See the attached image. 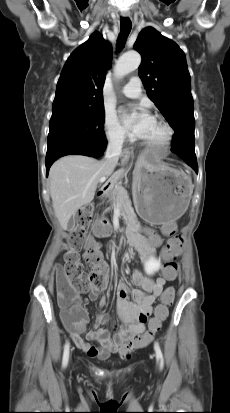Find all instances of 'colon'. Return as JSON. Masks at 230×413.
<instances>
[{
	"mask_svg": "<svg viewBox=\"0 0 230 413\" xmlns=\"http://www.w3.org/2000/svg\"><path fill=\"white\" fill-rule=\"evenodd\" d=\"M94 207L86 205L82 207L76 216V227L67 238L69 251L65 255V262L56 268L57 296L59 304L64 311H73L77 317L81 316V310L76 305V293L86 292L92 288H100L105 283V275L108 267L103 260L100 246L91 239L87 230L92 224ZM105 221H98L95 225L97 231H102ZM182 247V238L174 236L169 239L164 253L165 265L161 269V276L168 281H174L178 274L176 258ZM81 251L90 270L86 271L81 261ZM174 292L168 290L163 293L160 304L156 307L155 314L151 318L147 332L138 340L129 342L125 348V356H129L136 348L147 345L160 329L161 323L168 315V306L172 303Z\"/></svg>",
	"mask_w": 230,
	"mask_h": 413,
	"instance_id": "1",
	"label": "colon"
}]
</instances>
